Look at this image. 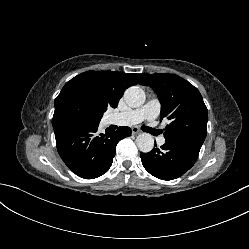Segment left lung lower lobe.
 Returning a JSON list of instances; mask_svg holds the SVG:
<instances>
[{"instance_id": "1", "label": "left lung lower lobe", "mask_w": 249, "mask_h": 249, "mask_svg": "<svg viewBox=\"0 0 249 249\" xmlns=\"http://www.w3.org/2000/svg\"><path fill=\"white\" fill-rule=\"evenodd\" d=\"M201 146L190 140H166L161 148L141 153L140 157L144 168L151 175L162 180H172L182 176L194 165Z\"/></svg>"}]
</instances>
